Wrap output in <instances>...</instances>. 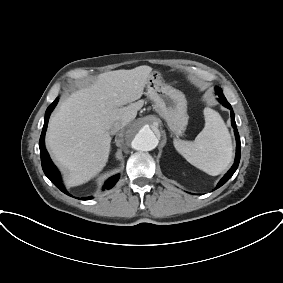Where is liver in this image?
Wrapping results in <instances>:
<instances>
[{
  "label": "liver",
  "instance_id": "6515ba94",
  "mask_svg": "<svg viewBox=\"0 0 283 283\" xmlns=\"http://www.w3.org/2000/svg\"><path fill=\"white\" fill-rule=\"evenodd\" d=\"M152 68L100 74L90 87L72 93L49 121L46 144L54 159L67 170V186L81 185L96 176L108 161L110 127L135 119ZM127 105V106H125Z\"/></svg>",
  "mask_w": 283,
  "mask_h": 283
}]
</instances>
